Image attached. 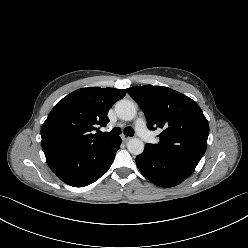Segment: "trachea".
<instances>
[{"mask_svg":"<svg viewBox=\"0 0 248 248\" xmlns=\"http://www.w3.org/2000/svg\"><path fill=\"white\" fill-rule=\"evenodd\" d=\"M120 133H121L120 128L115 127L108 133H102V135L107 134V135H111V136H117V135H120ZM124 133L126 135L133 136L134 135V130L132 128L128 127V128L124 129Z\"/></svg>","mask_w":248,"mask_h":248,"instance_id":"obj_1","label":"trachea"}]
</instances>
